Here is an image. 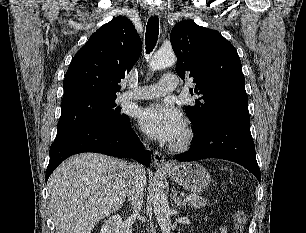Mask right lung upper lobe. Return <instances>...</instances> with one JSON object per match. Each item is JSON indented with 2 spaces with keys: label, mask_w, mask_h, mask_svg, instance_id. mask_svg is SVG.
<instances>
[{
  "label": "right lung upper lobe",
  "mask_w": 306,
  "mask_h": 233,
  "mask_svg": "<svg viewBox=\"0 0 306 233\" xmlns=\"http://www.w3.org/2000/svg\"><path fill=\"white\" fill-rule=\"evenodd\" d=\"M142 45L132 22L117 17L91 35L72 59L64 78L62 103L86 98H116L118 83L137 62Z\"/></svg>",
  "instance_id": "right-lung-upper-lobe-1"
}]
</instances>
